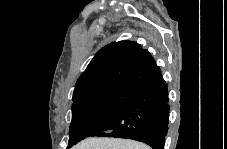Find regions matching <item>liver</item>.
I'll return each mask as SVG.
<instances>
[{
    "label": "liver",
    "instance_id": "liver-1",
    "mask_svg": "<svg viewBox=\"0 0 227 149\" xmlns=\"http://www.w3.org/2000/svg\"><path fill=\"white\" fill-rule=\"evenodd\" d=\"M76 149H150L149 146L128 139L88 138L76 146Z\"/></svg>",
    "mask_w": 227,
    "mask_h": 149
}]
</instances>
